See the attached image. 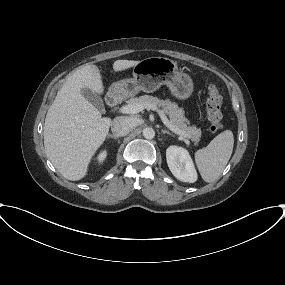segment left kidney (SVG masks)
I'll list each match as a JSON object with an SVG mask.
<instances>
[{
    "label": "left kidney",
    "instance_id": "1",
    "mask_svg": "<svg viewBox=\"0 0 285 285\" xmlns=\"http://www.w3.org/2000/svg\"><path fill=\"white\" fill-rule=\"evenodd\" d=\"M166 159L171 173L180 181L194 183L197 172L189 152L178 146H170L166 150Z\"/></svg>",
    "mask_w": 285,
    "mask_h": 285
}]
</instances>
